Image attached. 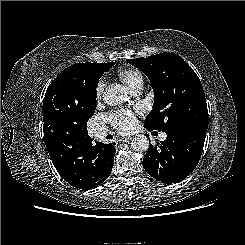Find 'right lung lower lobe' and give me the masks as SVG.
<instances>
[{
    "label": "right lung lower lobe",
    "mask_w": 245,
    "mask_h": 245,
    "mask_svg": "<svg viewBox=\"0 0 245 245\" xmlns=\"http://www.w3.org/2000/svg\"><path fill=\"white\" fill-rule=\"evenodd\" d=\"M45 144L58 173L76 188L94 189L112 171L115 143L94 144L87 134L71 140H48Z\"/></svg>",
    "instance_id": "right-lung-lower-lobe-1"
}]
</instances>
